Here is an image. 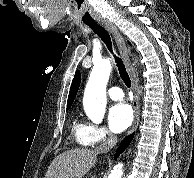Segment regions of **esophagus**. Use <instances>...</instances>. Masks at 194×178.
<instances>
[{
    "label": "esophagus",
    "instance_id": "1",
    "mask_svg": "<svg viewBox=\"0 0 194 178\" xmlns=\"http://www.w3.org/2000/svg\"><path fill=\"white\" fill-rule=\"evenodd\" d=\"M99 24L103 26L106 30H108L110 34L113 36V38L115 39L119 53L125 63V66L129 72V75L132 81V90L134 93V99H133L134 121L129 131V133H131L137 128L140 120V99L138 95V82H137L136 73L132 66L125 40L120 34V32L118 31L117 27L108 21H100Z\"/></svg>",
    "mask_w": 194,
    "mask_h": 178
}]
</instances>
